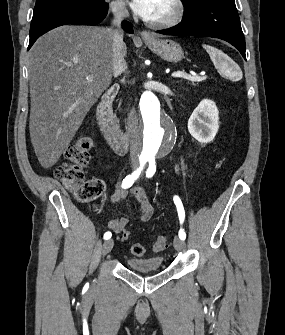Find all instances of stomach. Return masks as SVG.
<instances>
[{"mask_svg":"<svg viewBox=\"0 0 285 335\" xmlns=\"http://www.w3.org/2000/svg\"><path fill=\"white\" fill-rule=\"evenodd\" d=\"M145 44L166 62H181L184 58L181 46L173 40H155L154 38L153 42H145Z\"/></svg>","mask_w":285,"mask_h":335,"instance_id":"1","label":"stomach"}]
</instances>
